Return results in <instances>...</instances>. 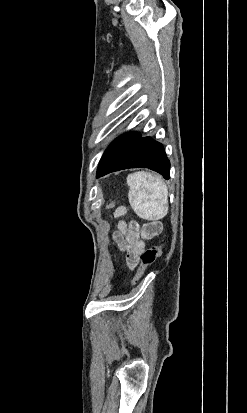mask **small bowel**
Masks as SVG:
<instances>
[{
	"mask_svg": "<svg viewBox=\"0 0 247 413\" xmlns=\"http://www.w3.org/2000/svg\"><path fill=\"white\" fill-rule=\"evenodd\" d=\"M124 209L117 210L116 215H121ZM162 232V224L159 221H150L143 225L135 222L127 223L122 220L118 223V230L114 233V240L121 251L127 255V261L130 267L138 263L137 258L132 255L138 254L145 249V241L153 239Z\"/></svg>",
	"mask_w": 247,
	"mask_h": 413,
	"instance_id": "obj_1",
	"label": "small bowel"
}]
</instances>
